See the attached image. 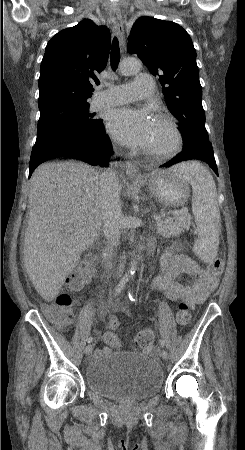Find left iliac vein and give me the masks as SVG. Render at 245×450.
I'll return each instance as SVG.
<instances>
[{
    "label": "left iliac vein",
    "instance_id": "4c4485c4",
    "mask_svg": "<svg viewBox=\"0 0 245 450\" xmlns=\"http://www.w3.org/2000/svg\"><path fill=\"white\" fill-rule=\"evenodd\" d=\"M162 359L167 360L168 359V353L166 350H162L160 353Z\"/></svg>",
    "mask_w": 245,
    "mask_h": 450
}]
</instances>
